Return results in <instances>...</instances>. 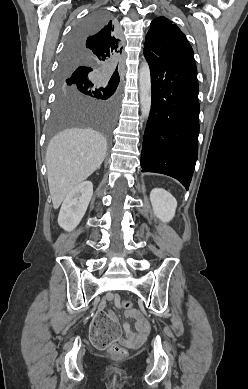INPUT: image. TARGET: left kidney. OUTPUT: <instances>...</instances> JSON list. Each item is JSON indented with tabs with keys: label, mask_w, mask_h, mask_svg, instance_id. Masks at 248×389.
<instances>
[{
	"label": "left kidney",
	"mask_w": 248,
	"mask_h": 389,
	"mask_svg": "<svg viewBox=\"0 0 248 389\" xmlns=\"http://www.w3.org/2000/svg\"><path fill=\"white\" fill-rule=\"evenodd\" d=\"M154 214L163 222H169L175 216L176 199L165 189L154 188L150 193Z\"/></svg>",
	"instance_id": "obj_1"
}]
</instances>
